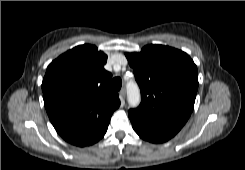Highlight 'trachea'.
<instances>
[{
    "label": "trachea",
    "mask_w": 245,
    "mask_h": 170,
    "mask_svg": "<svg viewBox=\"0 0 245 170\" xmlns=\"http://www.w3.org/2000/svg\"><path fill=\"white\" fill-rule=\"evenodd\" d=\"M122 86V80L120 77H115L112 80V87L116 90L119 91L121 89Z\"/></svg>",
    "instance_id": "1"
}]
</instances>
